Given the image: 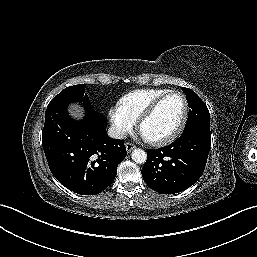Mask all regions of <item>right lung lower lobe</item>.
<instances>
[{"mask_svg": "<svg viewBox=\"0 0 257 257\" xmlns=\"http://www.w3.org/2000/svg\"><path fill=\"white\" fill-rule=\"evenodd\" d=\"M67 106L55 104L45 112L42 145L48 166L69 190L95 195L112 184L127 151L122 140L108 137L107 119L91 105L83 104L82 121L70 118Z\"/></svg>", "mask_w": 257, "mask_h": 257, "instance_id": "98d812e1", "label": "right lung lower lobe"}]
</instances>
